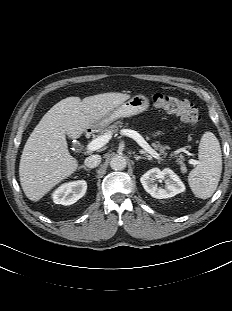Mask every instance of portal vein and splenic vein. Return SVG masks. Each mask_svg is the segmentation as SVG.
Wrapping results in <instances>:
<instances>
[{"instance_id": "1", "label": "portal vein and splenic vein", "mask_w": 232, "mask_h": 311, "mask_svg": "<svg viewBox=\"0 0 232 311\" xmlns=\"http://www.w3.org/2000/svg\"><path fill=\"white\" fill-rule=\"evenodd\" d=\"M122 135H126L132 139H134L147 153H149L152 157L156 159H161L160 155L144 140V138L134 130L123 129L121 130ZM111 133H106L104 135L99 136L98 138L92 140L86 147L87 151H96L103 147L105 144L109 142L111 139ZM190 163L195 165L197 161L191 159Z\"/></svg>"}]
</instances>
